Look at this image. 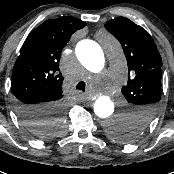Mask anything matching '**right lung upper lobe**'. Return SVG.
Here are the masks:
<instances>
[{"label": "right lung upper lobe", "mask_w": 174, "mask_h": 174, "mask_svg": "<svg viewBox=\"0 0 174 174\" xmlns=\"http://www.w3.org/2000/svg\"><path fill=\"white\" fill-rule=\"evenodd\" d=\"M85 25L74 17H59L45 21L26 38L13 68L11 92L14 96L33 94L35 97L25 103L39 104L41 112L39 115L23 113L25 119L44 117L42 107L63 97L59 58L71 35Z\"/></svg>", "instance_id": "obj_1"}]
</instances>
